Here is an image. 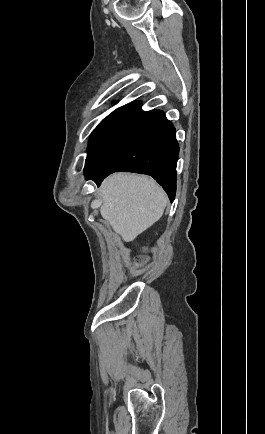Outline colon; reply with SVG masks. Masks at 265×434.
<instances>
[{
  "label": "colon",
  "mask_w": 265,
  "mask_h": 434,
  "mask_svg": "<svg viewBox=\"0 0 265 434\" xmlns=\"http://www.w3.org/2000/svg\"><path fill=\"white\" fill-rule=\"evenodd\" d=\"M142 264L146 265V263L142 262ZM141 262L137 261L136 266L133 267L132 272L134 274L138 273L141 268H143Z\"/></svg>",
  "instance_id": "colon-1"
}]
</instances>
